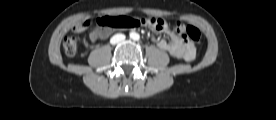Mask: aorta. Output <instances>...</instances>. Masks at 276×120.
<instances>
[{"instance_id": "obj_1", "label": "aorta", "mask_w": 276, "mask_h": 120, "mask_svg": "<svg viewBox=\"0 0 276 120\" xmlns=\"http://www.w3.org/2000/svg\"><path fill=\"white\" fill-rule=\"evenodd\" d=\"M130 38L133 40H139L140 36L138 33L132 32L130 33Z\"/></svg>"}]
</instances>
